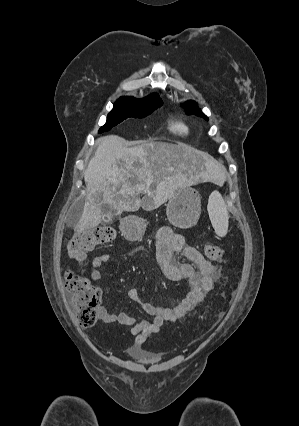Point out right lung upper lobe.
<instances>
[{
  "label": "right lung upper lobe",
  "mask_w": 299,
  "mask_h": 426,
  "mask_svg": "<svg viewBox=\"0 0 299 426\" xmlns=\"http://www.w3.org/2000/svg\"><path fill=\"white\" fill-rule=\"evenodd\" d=\"M119 100H122V101H137V100H140V99H136V98H133V97H121V98H119Z\"/></svg>",
  "instance_id": "1"
}]
</instances>
